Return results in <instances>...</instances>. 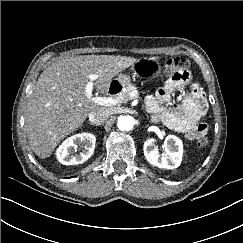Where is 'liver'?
<instances>
[{"mask_svg":"<svg viewBox=\"0 0 243 243\" xmlns=\"http://www.w3.org/2000/svg\"><path fill=\"white\" fill-rule=\"evenodd\" d=\"M134 58L82 55L49 65L39 76L27 102L25 128L33 152L44 159L67 135L80 127L100 105L87 98L91 74L97 91L105 93L115 75L131 66Z\"/></svg>","mask_w":243,"mask_h":243,"instance_id":"6515ba94","label":"liver"}]
</instances>
